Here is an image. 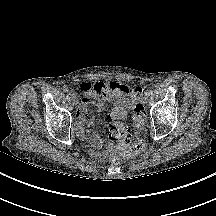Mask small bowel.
Listing matches in <instances>:
<instances>
[{"label": "small bowel", "mask_w": 216, "mask_h": 216, "mask_svg": "<svg viewBox=\"0 0 216 216\" xmlns=\"http://www.w3.org/2000/svg\"><path fill=\"white\" fill-rule=\"evenodd\" d=\"M96 92L84 95L76 114L77 132L80 137L88 140L95 148H100L102 139L89 128L94 125L88 117L89 107L93 104L97 111H102L106 103H112L113 108L108 115L109 121H119L127 117L130 109V88L119 82H97Z\"/></svg>", "instance_id": "1"}]
</instances>
